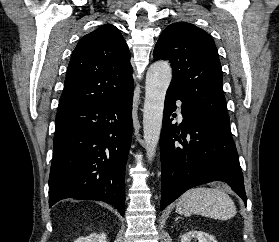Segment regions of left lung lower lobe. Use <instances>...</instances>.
<instances>
[{
	"label": "left lung lower lobe",
	"instance_id": "1",
	"mask_svg": "<svg viewBox=\"0 0 279 242\" xmlns=\"http://www.w3.org/2000/svg\"><path fill=\"white\" fill-rule=\"evenodd\" d=\"M178 94L168 89L165 98L161 154V210L188 189L219 180L227 182L247 203L243 174L230 130L183 104L180 127L171 124Z\"/></svg>",
	"mask_w": 279,
	"mask_h": 242
}]
</instances>
